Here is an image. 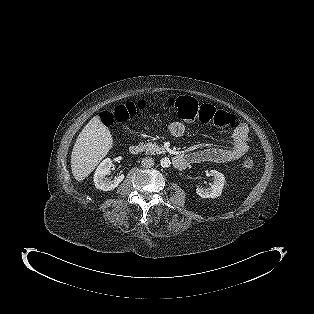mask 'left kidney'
I'll return each instance as SVG.
<instances>
[{
	"instance_id": "obj_1",
	"label": "left kidney",
	"mask_w": 314,
	"mask_h": 314,
	"mask_svg": "<svg viewBox=\"0 0 314 314\" xmlns=\"http://www.w3.org/2000/svg\"><path fill=\"white\" fill-rule=\"evenodd\" d=\"M211 175L214 177V182L211 185V187L204 189L202 187H197L196 188V193L201 197V198H217L221 195L222 189L224 188L225 184V177L222 173L216 171V170H211Z\"/></svg>"
}]
</instances>
